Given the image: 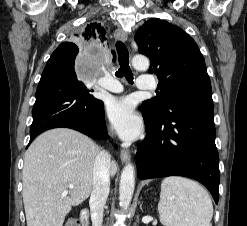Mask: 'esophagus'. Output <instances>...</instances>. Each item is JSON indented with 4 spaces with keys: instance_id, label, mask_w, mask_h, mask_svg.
I'll return each instance as SVG.
<instances>
[{
    "instance_id": "obj_1",
    "label": "esophagus",
    "mask_w": 247,
    "mask_h": 226,
    "mask_svg": "<svg viewBox=\"0 0 247 226\" xmlns=\"http://www.w3.org/2000/svg\"><path fill=\"white\" fill-rule=\"evenodd\" d=\"M114 35H115V37H116L117 39H120V40H122V41H126L127 38H128V33H127L125 30H123L122 28L116 29ZM120 158H121V161H122L123 163L129 162V161H130V153H129V151H127V150H122V151H121V154H120Z\"/></svg>"
}]
</instances>
